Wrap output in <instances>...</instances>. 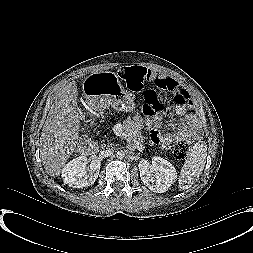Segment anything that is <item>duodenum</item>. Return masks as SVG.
Wrapping results in <instances>:
<instances>
[{
  "instance_id": "410a0bca",
  "label": "duodenum",
  "mask_w": 253,
  "mask_h": 253,
  "mask_svg": "<svg viewBox=\"0 0 253 253\" xmlns=\"http://www.w3.org/2000/svg\"><path fill=\"white\" fill-rule=\"evenodd\" d=\"M79 151L85 155L95 154L97 151L96 146L91 142L90 139L84 138L78 145Z\"/></svg>"
}]
</instances>
